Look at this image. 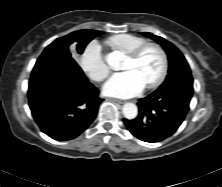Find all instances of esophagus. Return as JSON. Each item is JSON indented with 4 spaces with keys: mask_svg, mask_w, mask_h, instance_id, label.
I'll return each mask as SVG.
<instances>
[{
    "mask_svg": "<svg viewBox=\"0 0 222 187\" xmlns=\"http://www.w3.org/2000/svg\"><path fill=\"white\" fill-rule=\"evenodd\" d=\"M107 100L112 101V102H116V103H119V104H123L124 103V101L119 100V99H115V98H108Z\"/></svg>",
    "mask_w": 222,
    "mask_h": 187,
    "instance_id": "obj_1",
    "label": "esophagus"
}]
</instances>
